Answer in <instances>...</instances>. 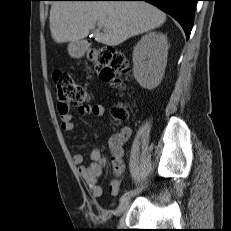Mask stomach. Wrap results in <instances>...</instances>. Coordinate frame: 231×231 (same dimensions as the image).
<instances>
[{
  "instance_id": "0dacf381",
  "label": "stomach",
  "mask_w": 231,
  "mask_h": 231,
  "mask_svg": "<svg viewBox=\"0 0 231 231\" xmlns=\"http://www.w3.org/2000/svg\"><path fill=\"white\" fill-rule=\"evenodd\" d=\"M68 52L72 57L81 56L84 52V49L81 46V42L72 41L68 46Z\"/></svg>"
}]
</instances>
